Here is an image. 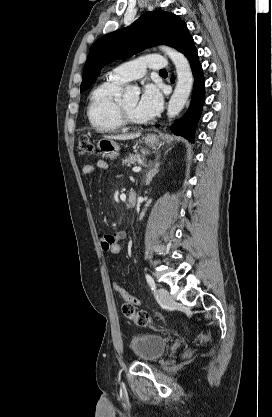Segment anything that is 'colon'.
Returning a JSON list of instances; mask_svg holds the SVG:
<instances>
[{
	"mask_svg": "<svg viewBox=\"0 0 272 417\" xmlns=\"http://www.w3.org/2000/svg\"><path fill=\"white\" fill-rule=\"evenodd\" d=\"M78 152L82 155H92L95 153V148L90 139L86 136H82L78 141ZM125 249L124 239L118 238L112 240L107 246V252L112 256L120 255ZM114 291L123 299L124 304L122 306V311L124 315L130 319H133L140 326H147L151 324L152 318L145 311H136V308L139 306V300L134 296L129 294L119 283H113ZM202 339L207 338V336H201Z\"/></svg>",
	"mask_w": 272,
	"mask_h": 417,
	"instance_id": "5ec220e1",
	"label": "colon"
}]
</instances>
